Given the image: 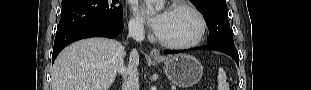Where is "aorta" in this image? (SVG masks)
<instances>
[{"instance_id":"762f6f07","label":"aorta","mask_w":311,"mask_h":90,"mask_svg":"<svg viewBox=\"0 0 311 90\" xmlns=\"http://www.w3.org/2000/svg\"><path fill=\"white\" fill-rule=\"evenodd\" d=\"M148 5H154L156 10H161L164 7L163 0H145Z\"/></svg>"}]
</instances>
